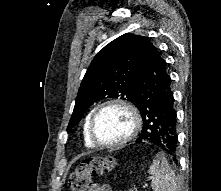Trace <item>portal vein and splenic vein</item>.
<instances>
[{"instance_id":"obj_1","label":"portal vein and splenic vein","mask_w":221,"mask_h":191,"mask_svg":"<svg viewBox=\"0 0 221 191\" xmlns=\"http://www.w3.org/2000/svg\"><path fill=\"white\" fill-rule=\"evenodd\" d=\"M143 188L145 189V188H148V184L147 183H144L143 184Z\"/></svg>"}]
</instances>
